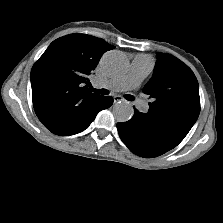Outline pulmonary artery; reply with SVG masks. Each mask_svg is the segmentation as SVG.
<instances>
[{"mask_svg": "<svg viewBox=\"0 0 223 223\" xmlns=\"http://www.w3.org/2000/svg\"><path fill=\"white\" fill-rule=\"evenodd\" d=\"M139 63L137 61L134 62L133 68H132V73L119 80H113V81H106L103 86L107 88H111L113 90H120L123 88H130L133 87L134 85L137 84L139 76H138V67ZM138 105L142 108H145V104L143 103H138Z\"/></svg>", "mask_w": 223, "mask_h": 223, "instance_id": "pulmonary-artery-1", "label": "pulmonary artery"}]
</instances>
